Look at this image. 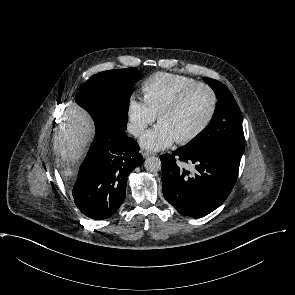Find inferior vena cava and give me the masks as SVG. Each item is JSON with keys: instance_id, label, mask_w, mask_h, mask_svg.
Segmentation results:
<instances>
[{"instance_id": "obj_1", "label": "inferior vena cava", "mask_w": 295, "mask_h": 295, "mask_svg": "<svg viewBox=\"0 0 295 295\" xmlns=\"http://www.w3.org/2000/svg\"><path fill=\"white\" fill-rule=\"evenodd\" d=\"M127 131L134 136H138L143 131V126L137 123H131L128 125Z\"/></svg>"}]
</instances>
